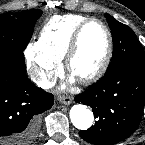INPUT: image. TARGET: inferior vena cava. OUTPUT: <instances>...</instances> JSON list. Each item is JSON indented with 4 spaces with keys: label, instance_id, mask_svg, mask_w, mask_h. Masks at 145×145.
I'll return each mask as SVG.
<instances>
[{
    "label": "inferior vena cava",
    "instance_id": "inferior-vena-cava-1",
    "mask_svg": "<svg viewBox=\"0 0 145 145\" xmlns=\"http://www.w3.org/2000/svg\"><path fill=\"white\" fill-rule=\"evenodd\" d=\"M39 85L42 87H51L54 83H48L45 79L40 78L38 81Z\"/></svg>",
    "mask_w": 145,
    "mask_h": 145
}]
</instances>
